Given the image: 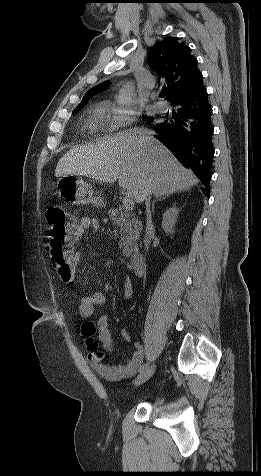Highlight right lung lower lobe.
Returning a JSON list of instances; mask_svg holds the SVG:
<instances>
[{
    "label": "right lung lower lobe",
    "mask_w": 261,
    "mask_h": 476,
    "mask_svg": "<svg viewBox=\"0 0 261 476\" xmlns=\"http://www.w3.org/2000/svg\"><path fill=\"white\" fill-rule=\"evenodd\" d=\"M207 96L201 80L191 93L173 100L171 105L177 108L176 112L154 127L160 134L157 138L194 171L206 188L214 157L212 108Z\"/></svg>",
    "instance_id": "obj_1"
}]
</instances>
